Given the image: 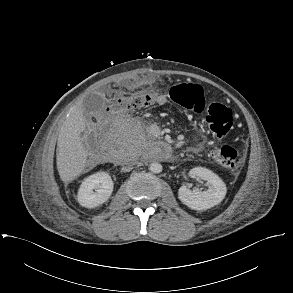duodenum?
Listing matches in <instances>:
<instances>
[{
  "label": "duodenum",
  "instance_id": "duodenum-1",
  "mask_svg": "<svg viewBox=\"0 0 293 293\" xmlns=\"http://www.w3.org/2000/svg\"><path fill=\"white\" fill-rule=\"evenodd\" d=\"M116 157V154H112L109 156L110 159H114Z\"/></svg>",
  "mask_w": 293,
  "mask_h": 293
}]
</instances>
